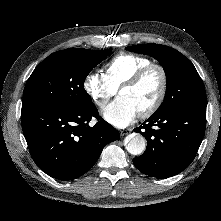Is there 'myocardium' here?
<instances>
[{
    "label": "myocardium",
    "mask_w": 221,
    "mask_h": 221,
    "mask_svg": "<svg viewBox=\"0 0 221 221\" xmlns=\"http://www.w3.org/2000/svg\"><path fill=\"white\" fill-rule=\"evenodd\" d=\"M152 70L159 71L161 75V88L155 101L149 107L138 113L141 118H147L153 115L161 107V105L163 104L166 98L169 79L165 68L160 64L150 63L142 67L138 71H136L130 78L124 81L119 87V93H120L125 88L137 85Z\"/></svg>",
    "instance_id": "myocardium-1"
}]
</instances>
